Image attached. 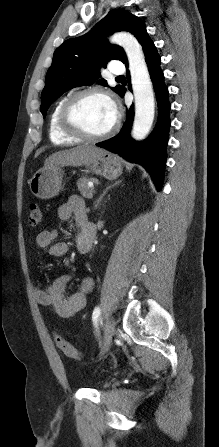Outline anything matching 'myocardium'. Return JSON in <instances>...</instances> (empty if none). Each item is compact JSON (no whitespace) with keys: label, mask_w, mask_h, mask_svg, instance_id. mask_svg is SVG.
Instances as JSON below:
<instances>
[{"label":"myocardium","mask_w":219,"mask_h":447,"mask_svg":"<svg viewBox=\"0 0 219 447\" xmlns=\"http://www.w3.org/2000/svg\"><path fill=\"white\" fill-rule=\"evenodd\" d=\"M91 96H98L112 103V100L110 99L109 95L101 89H85L76 92L70 97H68L63 103L59 113V124L61 129L67 134L79 138L81 140L94 142L112 136L116 132L119 126V118L116 116L113 125L107 131L100 134H92L86 131L84 128H82L75 121L74 112L83 99Z\"/></svg>","instance_id":"f54148a6"}]
</instances>
